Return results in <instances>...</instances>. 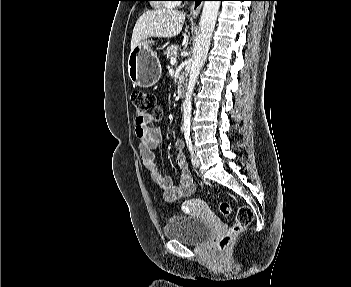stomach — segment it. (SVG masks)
Listing matches in <instances>:
<instances>
[{
	"mask_svg": "<svg viewBox=\"0 0 351 287\" xmlns=\"http://www.w3.org/2000/svg\"><path fill=\"white\" fill-rule=\"evenodd\" d=\"M152 40L141 41L128 57L130 80L143 88L155 85L161 77V65L157 55L151 50Z\"/></svg>",
	"mask_w": 351,
	"mask_h": 287,
	"instance_id": "1",
	"label": "stomach"
}]
</instances>
